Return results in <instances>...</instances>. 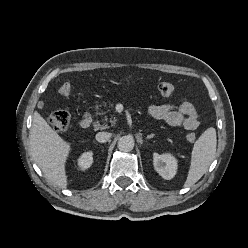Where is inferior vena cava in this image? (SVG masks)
<instances>
[{"label": "inferior vena cava", "instance_id": "1", "mask_svg": "<svg viewBox=\"0 0 248 248\" xmlns=\"http://www.w3.org/2000/svg\"><path fill=\"white\" fill-rule=\"evenodd\" d=\"M111 137V133L109 132H99L96 134V140L100 143L107 142Z\"/></svg>", "mask_w": 248, "mask_h": 248}]
</instances>
